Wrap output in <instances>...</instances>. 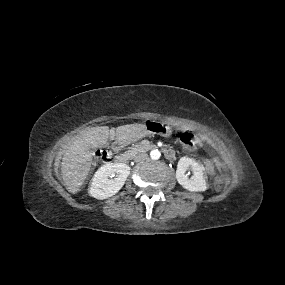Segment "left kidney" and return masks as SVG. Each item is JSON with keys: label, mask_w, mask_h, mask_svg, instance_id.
I'll return each instance as SVG.
<instances>
[{"label": "left kidney", "mask_w": 285, "mask_h": 285, "mask_svg": "<svg viewBox=\"0 0 285 285\" xmlns=\"http://www.w3.org/2000/svg\"><path fill=\"white\" fill-rule=\"evenodd\" d=\"M188 169L193 171L191 178L185 174ZM176 179L183 188L189 191L203 192L207 189L204 167L189 157L180 158L176 170Z\"/></svg>", "instance_id": "left-kidney-1"}]
</instances>
